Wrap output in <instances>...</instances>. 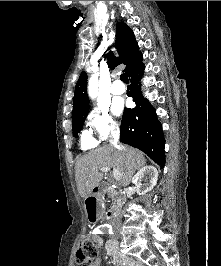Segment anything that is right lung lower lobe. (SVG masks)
I'll use <instances>...</instances> for the list:
<instances>
[{"instance_id": "1", "label": "right lung lower lobe", "mask_w": 221, "mask_h": 266, "mask_svg": "<svg viewBox=\"0 0 221 266\" xmlns=\"http://www.w3.org/2000/svg\"><path fill=\"white\" fill-rule=\"evenodd\" d=\"M143 70L144 66L141 62L128 74L132 87L128 90L127 95L133 97L136 107L124 110L120 126V141L140 149L163 167L165 164V139L155 109L142 96L139 88V79Z\"/></svg>"}]
</instances>
